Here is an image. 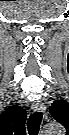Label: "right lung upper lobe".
<instances>
[{"label": "right lung upper lobe", "instance_id": "right-lung-upper-lobe-1", "mask_svg": "<svg viewBox=\"0 0 69 135\" xmlns=\"http://www.w3.org/2000/svg\"><path fill=\"white\" fill-rule=\"evenodd\" d=\"M26 111L20 106H10L0 114L1 129H6L12 134H25ZM8 135V134H7Z\"/></svg>", "mask_w": 69, "mask_h": 135}]
</instances>
